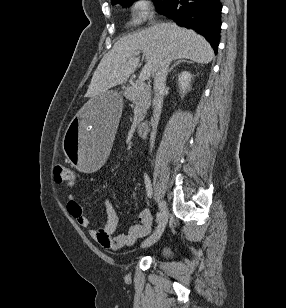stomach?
I'll use <instances>...</instances> for the list:
<instances>
[{"instance_id": "stomach-1", "label": "stomach", "mask_w": 286, "mask_h": 308, "mask_svg": "<svg viewBox=\"0 0 286 308\" xmlns=\"http://www.w3.org/2000/svg\"><path fill=\"white\" fill-rule=\"evenodd\" d=\"M120 87L106 89L97 97H88L84 109L71 117V122H65L62 144L69 162L75 166V171L83 174H96L103 167V161H109L113 149V133H119L122 115V94Z\"/></svg>"}]
</instances>
